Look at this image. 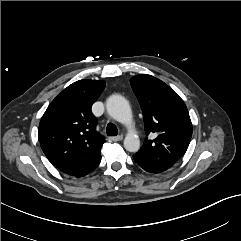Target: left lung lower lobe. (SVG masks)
<instances>
[{"label": "left lung lower lobe", "mask_w": 241, "mask_h": 241, "mask_svg": "<svg viewBox=\"0 0 241 241\" xmlns=\"http://www.w3.org/2000/svg\"><path fill=\"white\" fill-rule=\"evenodd\" d=\"M149 172H152V173H160V172H163V171H149Z\"/></svg>", "instance_id": "left-lung-lower-lobe-1"}]
</instances>
